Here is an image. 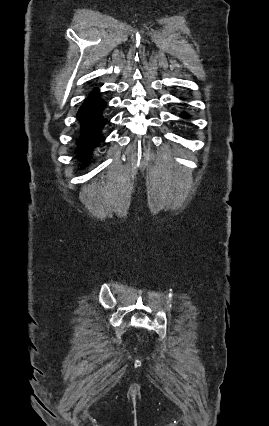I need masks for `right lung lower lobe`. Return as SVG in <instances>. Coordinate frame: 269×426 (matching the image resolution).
I'll return each instance as SVG.
<instances>
[{
	"label": "right lung lower lobe",
	"instance_id": "98d812e1",
	"mask_svg": "<svg viewBox=\"0 0 269 426\" xmlns=\"http://www.w3.org/2000/svg\"><path fill=\"white\" fill-rule=\"evenodd\" d=\"M105 107L106 102L98 96V90H94L78 111L77 118L81 123L79 146L86 155L102 140L101 130L107 120L101 113Z\"/></svg>",
	"mask_w": 269,
	"mask_h": 426
}]
</instances>
